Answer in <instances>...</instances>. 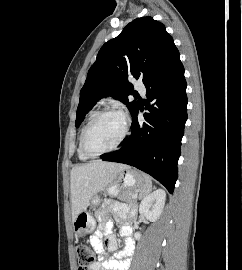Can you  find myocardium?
I'll list each match as a JSON object with an SVG mask.
<instances>
[{
    "mask_svg": "<svg viewBox=\"0 0 242 270\" xmlns=\"http://www.w3.org/2000/svg\"><path fill=\"white\" fill-rule=\"evenodd\" d=\"M109 114H118V115L123 117L124 130H123L122 136L120 137L118 142L116 144H114L112 147L105 149V150H102V151L93 152L87 147L86 141H87L88 134H89L90 130L92 129V127L96 124V122L101 117H103L105 115H109ZM128 134H129V121H128L127 116L122 111H120L118 109H113V108L103 109V110L97 112L93 116V118L89 121V123L86 125V127L82 133V136H81L80 148H81V151L83 152V154L88 156L89 158L90 157H98V156H101V155H104V154H107V153H110V152L117 150L124 143Z\"/></svg>",
    "mask_w": 242,
    "mask_h": 270,
    "instance_id": "f54148a6",
    "label": "myocardium"
}]
</instances>
